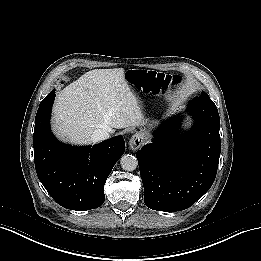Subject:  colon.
<instances>
[{"label":"colon","mask_w":261,"mask_h":261,"mask_svg":"<svg viewBox=\"0 0 261 261\" xmlns=\"http://www.w3.org/2000/svg\"><path fill=\"white\" fill-rule=\"evenodd\" d=\"M134 75L136 76L138 83L145 91L156 95L166 93L167 85L170 81L168 76L155 71L147 70L136 71Z\"/></svg>","instance_id":"5ec220e1"}]
</instances>
